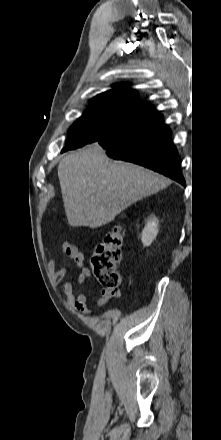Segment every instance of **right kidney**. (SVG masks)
I'll return each instance as SVG.
<instances>
[{"label": "right kidney", "mask_w": 221, "mask_h": 440, "mask_svg": "<svg viewBox=\"0 0 221 440\" xmlns=\"http://www.w3.org/2000/svg\"><path fill=\"white\" fill-rule=\"evenodd\" d=\"M158 234V220L152 218L142 231L141 240L144 246H149Z\"/></svg>", "instance_id": "1"}]
</instances>
